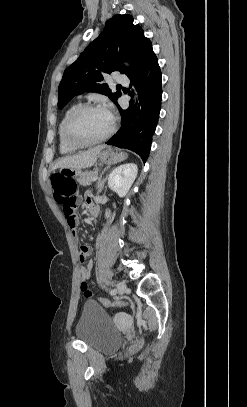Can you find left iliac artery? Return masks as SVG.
<instances>
[{
  "instance_id": "left-iliac-artery-1",
  "label": "left iliac artery",
  "mask_w": 247,
  "mask_h": 407,
  "mask_svg": "<svg viewBox=\"0 0 247 407\" xmlns=\"http://www.w3.org/2000/svg\"><path fill=\"white\" fill-rule=\"evenodd\" d=\"M115 293H116V290H115V289H113V290L110 291V294H111V295H114Z\"/></svg>"
}]
</instances>
